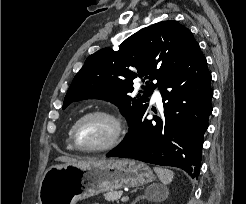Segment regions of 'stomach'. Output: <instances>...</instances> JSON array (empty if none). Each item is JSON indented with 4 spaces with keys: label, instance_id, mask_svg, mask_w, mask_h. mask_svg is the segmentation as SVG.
Wrapping results in <instances>:
<instances>
[{
    "label": "stomach",
    "instance_id": "1",
    "mask_svg": "<svg viewBox=\"0 0 246 204\" xmlns=\"http://www.w3.org/2000/svg\"><path fill=\"white\" fill-rule=\"evenodd\" d=\"M154 179L151 168L130 159L84 160L48 168L40 182L39 204L77 201L123 187H140Z\"/></svg>",
    "mask_w": 246,
    "mask_h": 204
}]
</instances>
